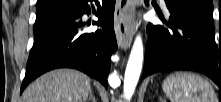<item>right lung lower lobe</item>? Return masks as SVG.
Masks as SVG:
<instances>
[{
  "label": "right lung lower lobe",
  "instance_id": "obj_1",
  "mask_svg": "<svg viewBox=\"0 0 221 102\" xmlns=\"http://www.w3.org/2000/svg\"><path fill=\"white\" fill-rule=\"evenodd\" d=\"M92 2V0H90ZM88 0H77L75 9L58 17L34 33L35 40L27 62L20 93L41 74L55 68H75L108 87L111 54L117 49L113 27L115 0L98 6L95 32H84L83 14L90 13Z\"/></svg>",
  "mask_w": 221,
  "mask_h": 102
}]
</instances>
